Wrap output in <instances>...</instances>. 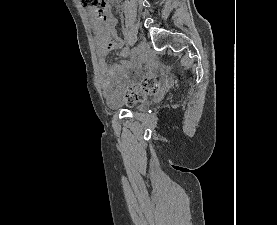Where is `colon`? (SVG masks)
Listing matches in <instances>:
<instances>
[{"instance_id":"1","label":"colon","mask_w":277,"mask_h":225,"mask_svg":"<svg viewBox=\"0 0 277 225\" xmlns=\"http://www.w3.org/2000/svg\"><path fill=\"white\" fill-rule=\"evenodd\" d=\"M80 3L88 7L95 12L99 16H104L107 11V3L106 0H80ZM113 43L108 44V48H113ZM160 88V79L155 77H147L143 80L142 83L138 85H133L127 88L124 91V100L128 104H134L149 95L156 93Z\"/></svg>"}]
</instances>
